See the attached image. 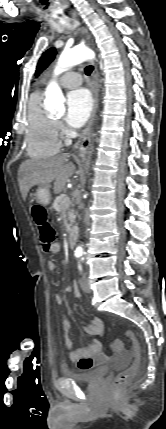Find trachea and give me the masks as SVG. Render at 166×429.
<instances>
[{"mask_svg":"<svg viewBox=\"0 0 166 429\" xmlns=\"http://www.w3.org/2000/svg\"><path fill=\"white\" fill-rule=\"evenodd\" d=\"M92 71H93V66H87L85 68V74L88 76L92 73Z\"/></svg>","mask_w":166,"mask_h":429,"instance_id":"1","label":"trachea"}]
</instances>
